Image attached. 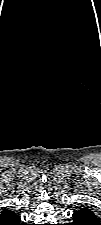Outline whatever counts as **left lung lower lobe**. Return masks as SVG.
<instances>
[{
	"label": "left lung lower lobe",
	"mask_w": 101,
	"mask_h": 225,
	"mask_svg": "<svg viewBox=\"0 0 101 225\" xmlns=\"http://www.w3.org/2000/svg\"><path fill=\"white\" fill-rule=\"evenodd\" d=\"M72 217L73 222L70 225H99L97 217L88 208H80Z\"/></svg>",
	"instance_id": "0a47b994"
}]
</instances>
